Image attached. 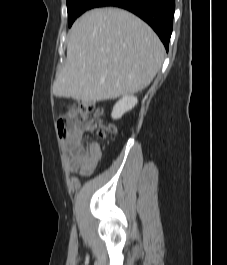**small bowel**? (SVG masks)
<instances>
[{"instance_id": "small-bowel-1", "label": "small bowel", "mask_w": 227, "mask_h": 265, "mask_svg": "<svg viewBox=\"0 0 227 265\" xmlns=\"http://www.w3.org/2000/svg\"><path fill=\"white\" fill-rule=\"evenodd\" d=\"M69 116H76V111H69ZM89 131L90 125H75L70 128L64 141L69 168L78 170L82 177L92 174L100 156L97 144L87 148L82 144L83 135Z\"/></svg>"}]
</instances>
